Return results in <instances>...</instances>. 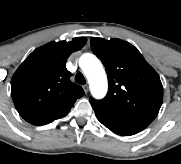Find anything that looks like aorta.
I'll list each match as a JSON object with an SVG mask.
<instances>
[{
    "mask_svg": "<svg viewBox=\"0 0 181 164\" xmlns=\"http://www.w3.org/2000/svg\"><path fill=\"white\" fill-rule=\"evenodd\" d=\"M79 64L88 80L92 96L103 98L108 90V81L101 61L95 55L86 53L81 56Z\"/></svg>",
    "mask_w": 181,
    "mask_h": 164,
    "instance_id": "aorta-1",
    "label": "aorta"
}]
</instances>
